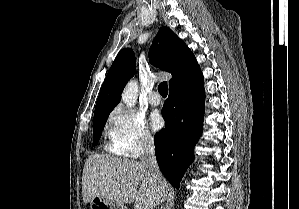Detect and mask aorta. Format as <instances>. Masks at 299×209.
Listing matches in <instances>:
<instances>
[{
  "mask_svg": "<svg viewBox=\"0 0 299 209\" xmlns=\"http://www.w3.org/2000/svg\"><path fill=\"white\" fill-rule=\"evenodd\" d=\"M138 93V84L136 81H130L122 93V101L127 107H133L136 104Z\"/></svg>",
  "mask_w": 299,
  "mask_h": 209,
  "instance_id": "1",
  "label": "aorta"
}]
</instances>
